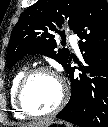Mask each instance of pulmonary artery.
Here are the masks:
<instances>
[{"mask_svg":"<svg viewBox=\"0 0 108 127\" xmlns=\"http://www.w3.org/2000/svg\"><path fill=\"white\" fill-rule=\"evenodd\" d=\"M68 40H69L72 48L74 50H77L78 49L77 37L75 35L71 34V35L68 36Z\"/></svg>","mask_w":108,"mask_h":127,"instance_id":"e3ab8cb5","label":"pulmonary artery"}]
</instances>
